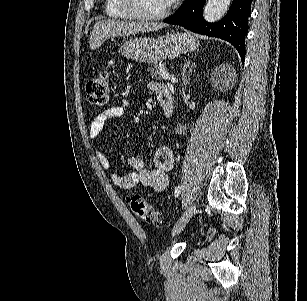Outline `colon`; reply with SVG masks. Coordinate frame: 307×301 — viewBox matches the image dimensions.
Listing matches in <instances>:
<instances>
[{
	"mask_svg": "<svg viewBox=\"0 0 307 301\" xmlns=\"http://www.w3.org/2000/svg\"><path fill=\"white\" fill-rule=\"evenodd\" d=\"M86 95L90 103L104 106L109 100V79L105 72H101L87 82ZM133 213L142 220L158 222V212L142 196L133 195L130 198Z\"/></svg>",
	"mask_w": 307,
	"mask_h": 301,
	"instance_id": "1",
	"label": "colon"
}]
</instances>
